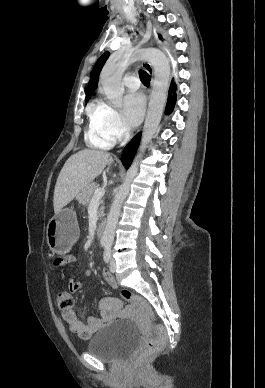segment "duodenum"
<instances>
[{
    "label": "duodenum",
    "instance_id": "1",
    "mask_svg": "<svg viewBox=\"0 0 265 388\" xmlns=\"http://www.w3.org/2000/svg\"><path fill=\"white\" fill-rule=\"evenodd\" d=\"M105 230H106V221L103 220L97 226V235L101 237L104 234Z\"/></svg>",
    "mask_w": 265,
    "mask_h": 388
}]
</instances>
